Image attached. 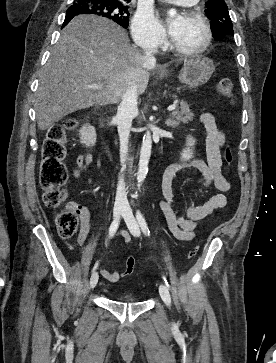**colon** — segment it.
Listing matches in <instances>:
<instances>
[{"mask_svg": "<svg viewBox=\"0 0 276 363\" xmlns=\"http://www.w3.org/2000/svg\"><path fill=\"white\" fill-rule=\"evenodd\" d=\"M217 92L223 97L232 95V82L229 79H222L217 83ZM77 120L69 118L61 124L52 126L42 145V162L40 166L39 180L43 189V200L45 205L50 209L59 208L66 199L64 185L68 179V172L64 164L66 156V137L67 132L75 129ZM225 159L228 163L232 161V152L228 148L225 153ZM79 224L77 212L72 208L61 211L56 218V228L60 237H72ZM196 248L188 252V258L195 257ZM126 274L132 272L135 259L128 257L126 260Z\"/></svg>", "mask_w": 276, "mask_h": 363, "instance_id": "obj_1", "label": "colon"}]
</instances>
